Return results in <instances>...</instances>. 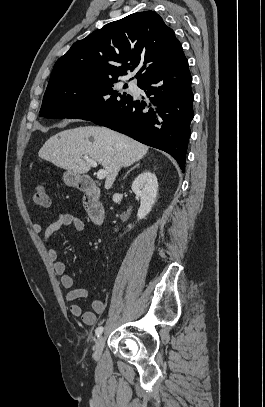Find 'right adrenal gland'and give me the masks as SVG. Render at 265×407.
<instances>
[{"label": "right adrenal gland", "mask_w": 265, "mask_h": 407, "mask_svg": "<svg viewBox=\"0 0 265 407\" xmlns=\"http://www.w3.org/2000/svg\"><path fill=\"white\" fill-rule=\"evenodd\" d=\"M139 163L137 164V165H135L134 167H132L128 172H127V174L124 176V178L132 171V170H134L135 168H138L139 167Z\"/></svg>", "instance_id": "1"}]
</instances>
